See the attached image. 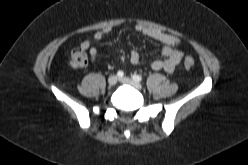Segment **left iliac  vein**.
Masks as SVG:
<instances>
[{
	"instance_id": "left-iliac-vein-1",
	"label": "left iliac vein",
	"mask_w": 248,
	"mask_h": 165,
	"mask_svg": "<svg viewBox=\"0 0 248 165\" xmlns=\"http://www.w3.org/2000/svg\"><path fill=\"white\" fill-rule=\"evenodd\" d=\"M119 81L124 83V84H128V85L134 87L135 89H141L142 88V85L139 82L134 81L128 77H122L119 79Z\"/></svg>"
}]
</instances>
